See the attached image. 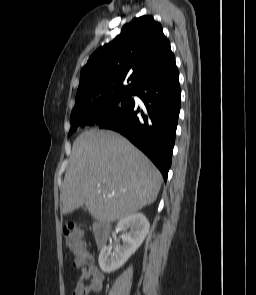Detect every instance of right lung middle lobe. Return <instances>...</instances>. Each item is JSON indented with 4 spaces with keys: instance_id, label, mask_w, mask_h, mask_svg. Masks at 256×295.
<instances>
[{
    "instance_id": "1",
    "label": "right lung middle lobe",
    "mask_w": 256,
    "mask_h": 295,
    "mask_svg": "<svg viewBox=\"0 0 256 295\" xmlns=\"http://www.w3.org/2000/svg\"><path fill=\"white\" fill-rule=\"evenodd\" d=\"M133 94L134 92H129L106 98L76 100L70 117L71 129L68 136L74 130L91 126L99 119H107L120 115L132 106Z\"/></svg>"
}]
</instances>
